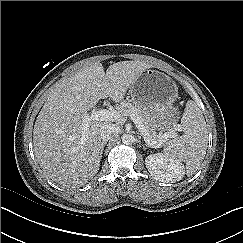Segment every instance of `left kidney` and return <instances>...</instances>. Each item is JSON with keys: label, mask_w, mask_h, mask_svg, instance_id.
<instances>
[{"label": "left kidney", "mask_w": 243, "mask_h": 243, "mask_svg": "<svg viewBox=\"0 0 243 243\" xmlns=\"http://www.w3.org/2000/svg\"><path fill=\"white\" fill-rule=\"evenodd\" d=\"M145 165L155 179L166 183L180 181L185 174L181 160L169 158L160 153L147 156Z\"/></svg>", "instance_id": "obj_1"}]
</instances>
